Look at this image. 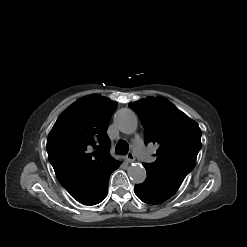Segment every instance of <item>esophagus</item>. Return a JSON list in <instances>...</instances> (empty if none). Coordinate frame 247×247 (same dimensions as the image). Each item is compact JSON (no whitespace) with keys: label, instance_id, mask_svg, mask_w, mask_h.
Masks as SVG:
<instances>
[{"label":"esophagus","instance_id":"esophagus-1","mask_svg":"<svg viewBox=\"0 0 247 247\" xmlns=\"http://www.w3.org/2000/svg\"><path fill=\"white\" fill-rule=\"evenodd\" d=\"M126 160L127 162L129 163H132L135 161V156L132 152H129L127 155H126Z\"/></svg>","mask_w":247,"mask_h":247}]
</instances>
